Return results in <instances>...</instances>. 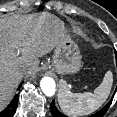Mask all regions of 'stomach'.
Masks as SVG:
<instances>
[{
    "instance_id": "0dacf381",
    "label": "stomach",
    "mask_w": 117,
    "mask_h": 117,
    "mask_svg": "<svg viewBox=\"0 0 117 117\" xmlns=\"http://www.w3.org/2000/svg\"><path fill=\"white\" fill-rule=\"evenodd\" d=\"M53 66L55 71L60 74H74L81 68V55L78 45L71 40L65 30L55 47Z\"/></svg>"
}]
</instances>
